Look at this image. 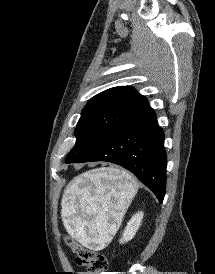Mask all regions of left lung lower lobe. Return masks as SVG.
Here are the masks:
<instances>
[{"mask_svg": "<svg viewBox=\"0 0 215 274\" xmlns=\"http://www.w3.org/2000/svg\"><path fill=\"white\" fill-rule=\"evenodd\" d=\"M164 133L148 106L133 115L78 161H106L131 171L162 203L166 187Z\"/></svg>", "mask_w": 215, "mask_h": 274, "instance_id": "1", "label": "left lung lower lobe"}]
</instances>
